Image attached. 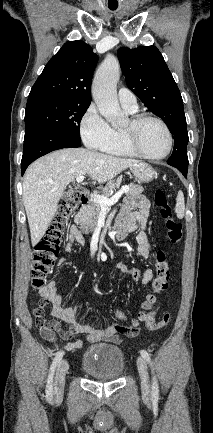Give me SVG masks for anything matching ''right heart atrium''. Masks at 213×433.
<instances>
[{"label":"right heart atrium","instance_id":"right-heart-atrium-1","mask_svg":"<svg viewBox=\"0 0 213 433\" xmlns=\"http://www.w3.org/2000/svg\"><path fill=\"white\" fill-rule=\"evenodd\" d=\"M80 135L92 149H102L110 138L111 127L95 105H90L80 120Z\"/></svg>","mask_w":213,"mask_h":433}]
</instances>
